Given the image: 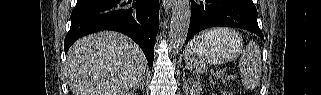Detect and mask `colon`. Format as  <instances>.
Returning <instances> with one entry per match:
<instances>
[{
	"mask_svg": "<svg viewBox=\"0 0 321 95\" xmlns=\"http://www.w3.org/2000/svg\"><path fill=\"white\" fill-rule=\"evenodd\" d=\"M222 94H223V95H231L230 92H223Z\"/></svg>",
	"mask_w": 321,
	"mask_h": 95,
	"instance_id": "5ec220e1",
	"label": "colon"
}]
</instances>
